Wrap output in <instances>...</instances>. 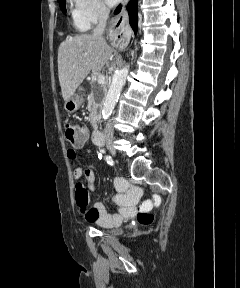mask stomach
I'll list each match as a JSON object with an SVG mask.
<instances>
[{
	"mask_svg": "<svg viewBox=\"0 0 240 288\" xmlns=\"http://www.w3.org/2000/svg\"><path fill=\"white\" fill-rule=\"evenodd\" d=\"M82 104V99L79 94H74L72 97H70L66 102H65V109L69 112L72 113L76 110L79 109V107Z\"/></svg>",
	"mask_w": 240,
	"mask_h": 288,
	"instance_id": "obj_1",
	"label": "stomach"
}]
</instances>
